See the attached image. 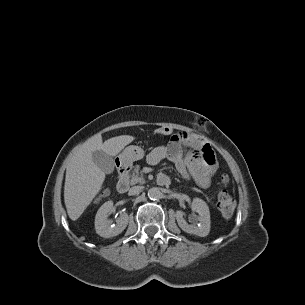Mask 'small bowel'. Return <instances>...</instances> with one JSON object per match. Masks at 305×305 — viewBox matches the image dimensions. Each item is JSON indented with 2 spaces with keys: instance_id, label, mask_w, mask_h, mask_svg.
Listing matches in <instances>:
<instances>
[{
  "instance_id": "1",
  "label": "small bowel",
  "mask_w": 305,
  "mask_h": 305,
  "mask_svg": "<svg viewBox=\"0 0 305 305\" xmlns=\"http://www.w3.org/2000/svg\"><path fill=\"white\" fill-rule=\"evenodd\" d=\"M147 160L151 165L163 160L172 162L184 178L194 180L202 188L210 185L218 168L211 146L201 137L187 132L178 133L168 144L154 148Z\"/></svg>"
}]
</instances>
